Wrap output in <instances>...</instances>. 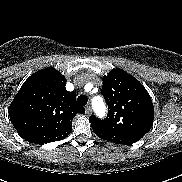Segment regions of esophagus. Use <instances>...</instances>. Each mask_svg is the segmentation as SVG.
Returning a JSON list of instances; mask_svg holds the SVG:
<instances>
[{
	"mask_svg": "<svg viewBox=\"0 0 182 182\" xmlns=\"http://www.w3.org/2000/svg\"><path fill=\"white\" fill-rule=\"evenodd\" d=\"M85 113L89 116L92 114V107L90 105H87L85 107Z\"/></svg>",
	"mask_w": 182,
	"mask_h": 182,
	"instance_id": "1",
	"label": "esophagus"
}]
</instances>
